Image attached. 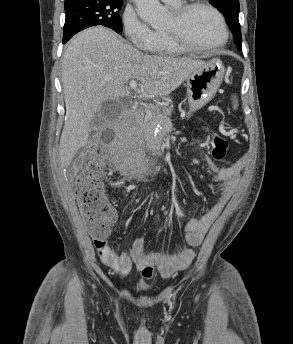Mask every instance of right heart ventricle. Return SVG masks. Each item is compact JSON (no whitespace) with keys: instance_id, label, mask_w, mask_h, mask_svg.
<instances>
[{"instance_id":"obj_1","label":"right heart ventricle","mask_w":293,"mask_h":344,"mask_svg":"<svg viewBox=\"0 0 293 344\" xmlns=\"http://www.w3.org/2000/svg\"><path fill=\"white\" fill-rule=\"evenodd\" d=\"M178 5L179 3L173 6L176 7ZM148 52L154 56L171 57L182 55L186 51L174 44L164 33V31H158L156 39Z\"/></svg>"}]
</instances>
